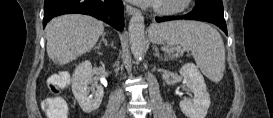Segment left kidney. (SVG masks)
Masks as SVG:
<instances>
[{"instance_id":"left-kidney-1","label":"left kidney","mask_w":273,"mask_h":118,"mask_svg":"<svg viewBox=\"0 0 273 118\" xmlns=\"http://www.w3.org/2000/svg\"><path fill=\"white\" fill-rule=\"evenodd\" d=\"M179 72L194 93L193 101L180 102L181 111L187 118H205L211 102L202 74L192 63L185 64Z\"/></svg>"}]
</instances>
